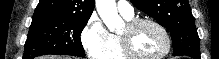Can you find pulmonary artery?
Wrapping results in <instances>:
<instances>
[{
	"instance_id": "pulmonary-artery-1",
	"label": "pulmonary artery",
	"mask_w": 219,
	"mask_h": 59,
	"mask_svg": "<svg viewBox=\"0 0 219 59\" xmlns=\"http://www.w3.org/2000/svg\"><path fill=\"white\" fill-rule=\"evenodd\" d=\"M117 9L120 12V14L125 18H132L134 15V8L133 6L127 2V1H118Z\"/></svg>"
}]
</instances>
